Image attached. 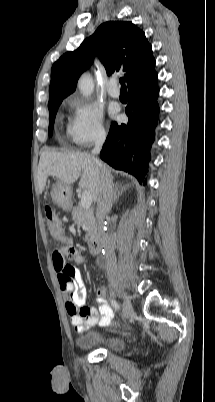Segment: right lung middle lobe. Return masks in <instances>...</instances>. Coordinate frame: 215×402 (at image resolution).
I'll use <instances>...</instances> for the list:
<instances>
[{"mask_svg": "<svg viewBox=\"0 0 215 402\" xmlns=\"http://www.w3.org/2000/svg\"><path fill=\"white\" fill-rule=\"evenodd\" d=\"M63 98H59V99H55L53 101H51L48 105L49 107V118H50V124H49V135L51 136L53 133V125H54V121H55V116L57 113V110L62 102Z\"/></svg>", "mask_w": 215, "mask_h": 402, "instance_id": "obj_1", "label": "right lung middle lobe"}]
</instances>
